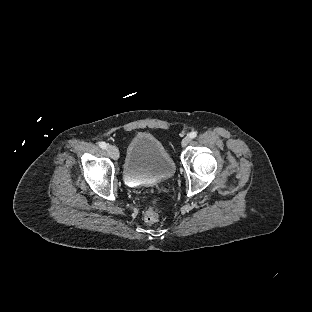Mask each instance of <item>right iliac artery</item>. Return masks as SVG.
I'll return each instance as SVG.
<instances>
[{
  "label": "right iliac artery",
  "mask_w": 312,
  "mask_h": 312,
  "mask_svg": "<svg viewBox=\"0 0 312 312\" xmlns=\"http://www.w3.org/2000/svg\"><path fill=\"white\" fill-rule=\"evenodd\" d=\"M99 146L102 148V149H106L107 148V144L105 142H99Z\"/></svg>",
  "instance_id": "obj_1"
}]
</instances>
